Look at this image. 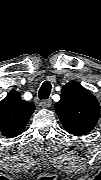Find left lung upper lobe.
Instances as JSON below:
<instances>
[{"mask_svg": "<svg viewBox=\"0 0 101 180\" xmlns=\"http://www.w3.org/2000/svg\"><path fill=\"white\" fill-rule=\"evenodd\" d=\"M55 109L65 130L77 136L93 130L100 115L96 97L76 81L62 87L61 99Z\"/></svg>", "mask_w": 101, "mask_h": 180, "instance_id": "obj_1", "label": "left lung upper lobe"}]
</instances>
